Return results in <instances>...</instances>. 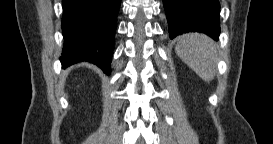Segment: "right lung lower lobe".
Returning a JSON list of instances; mask_svg holds the SVG:
<instances>
[{"label":"right lung lower lobe","instance_id":"obj_1","mask_svg":"<svg viewBox=\"0 0 273 144\" xmlns=\"http://www.w3.org/2000/svg\"><path fill=\"white\" fill-rule=\"evenodd\" d=\"M121 0H62L63 68L89 61L110 74Z\"/></svg>","mask_w":273,"mask_h":144}]
</instances>
